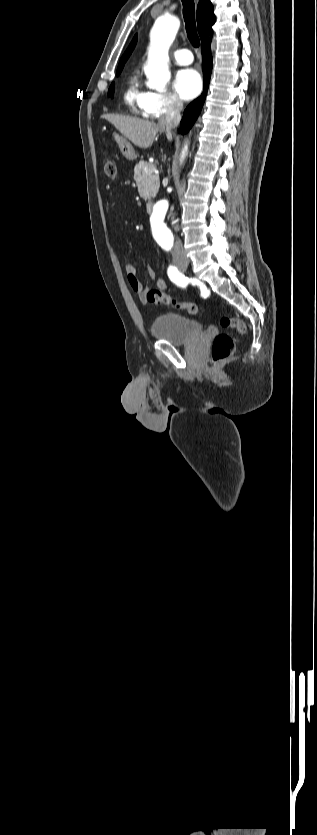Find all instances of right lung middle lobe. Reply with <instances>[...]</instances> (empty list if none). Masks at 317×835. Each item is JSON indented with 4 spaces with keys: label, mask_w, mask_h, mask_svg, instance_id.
Returning <instances> with one entry per match:
<instances>
[{
    "label": "right lung middle lobe",
    "mask_w": 317,
    "mask_h": 835,
    "mask_svg": "<svg viewBox=\"0 0 317 835\" xmlns=\"http://www.w3.org/2000/svg\"><path fill=\"white\" fill-rule=\"evenodd\" d=\"M123 66H124V64H121V65H119V66H118V69H117V75H119V74H120V72H121V71H122V69H123ZM113 93H114V83H112V84H111V86H110V88H109V90H108V96L113 97Z\"/></svg>",
    "instance_id": "1"
}]
</instances>
